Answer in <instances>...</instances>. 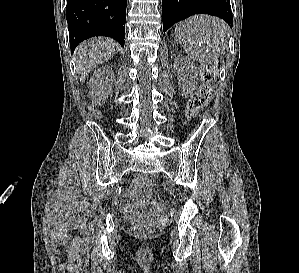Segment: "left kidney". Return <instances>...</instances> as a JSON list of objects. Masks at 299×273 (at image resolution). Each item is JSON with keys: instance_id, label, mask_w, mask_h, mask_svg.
Here are the masks:
<instances>
[{"instance_id": "5707ae66", "label": "left kidney", "mask_w": 299, "mask_h": 273, "mask_svg": "<svg viewBox=\"0 0 299 273\" xmlns=\"http://www.w3.org/2000/svg\"><path fill=\"white\" fill-rule=\"evenodd\" d=\"M174 69L178 73V84L185 95L191 94L197 87L198 71L188 58L178 55L174 62Z\"/></svg>"}]
</instances>
